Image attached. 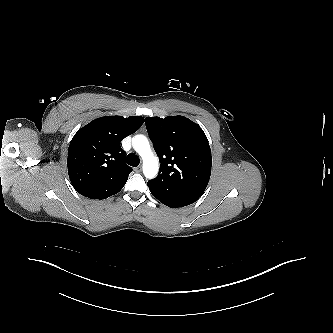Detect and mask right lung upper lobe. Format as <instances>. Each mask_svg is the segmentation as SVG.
<instances>
[{
  "label": "right lung upper lobe",
  "mask_w": 333,
  "mask_h": 333,
  "mask_svg": "<svg viewBox=\"0 0 333 333\" xmlns=\"http://www.w3.org/2000/svg\"><path fill=\"white\" fill-rule=\"evenodd\" d=\"M144 123L141 116L100 117L81 128L68 148V173L73 187L91 199L118 193L132 169L125 164L120 142Z\"/></svg>",
  "instance_id": "1"
}]
</instances>
